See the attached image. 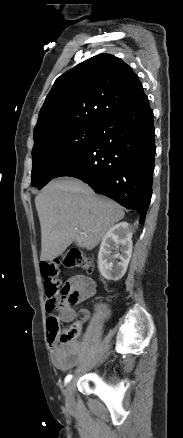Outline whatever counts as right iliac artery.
I'll list each match as a JSON object with an SVG mask.
<instances>
[{"label":"right iliac artery","instance_id":"1","mask_svg":"<svg viewBox=\"0 0 183 438\" xmlns=\"http://www.w3.org/2000/svg\"><path fill=\"white\" fill-rule=\"evenodd\" d=\"M72 379V375H67L65 378V383H68Z\"/></svg>","mask_w":183,"mask_h":438}]
</instances>
